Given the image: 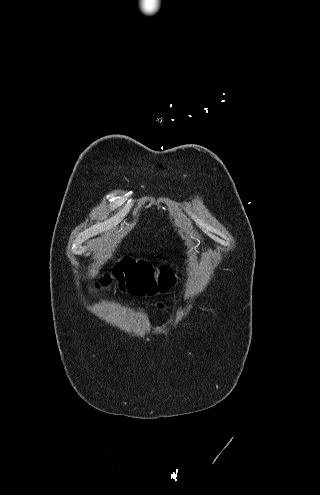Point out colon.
Listing matches in <instances>:
<instances>
[{
  "label": "colon",
  "mask_w": 320,
  "mask_h": 495,
  "mask_svg": "<svg viewBox=\"0 0 320 495\" xmlns=\"http://www.w3.org/2000/svg\"><path fill=\"white\" fill-rule=\"evenodd\" d=\"M172 269L167 264L159 275L158 280L154 279V270L152 266L145 261L136 260L131 257H125L119 261L112 273H106L97 283V286L107 287L116 278L120 287L134 293L149 292L153 293L159 289H165L170 285Z\"/></svg>",
  "instance_id": "obj_1"
}]
</instances>
